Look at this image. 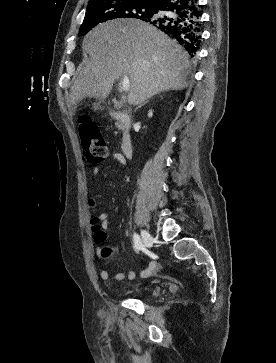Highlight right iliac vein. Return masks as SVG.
<instances>
[{
    "label": "right iliac vein",
    "instance_id": "63e3f726",
    "mask_svg": "<svg viewBox=\"0 0 276 363\" xmlns=\"http://www.w3.org/2000/svg\"><path fill=\"white\" fill-rule=\"evenodd\" d=\"M141 236H142V240L143 243L145 245L146 248H151L153 243H154V239L153 237L150 235V233L146 230H142L141 231Z\"/></svg>",
    "mask_w": 276,
    "mask_h": 363
}]
</instances>
